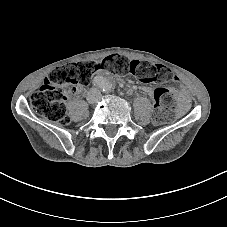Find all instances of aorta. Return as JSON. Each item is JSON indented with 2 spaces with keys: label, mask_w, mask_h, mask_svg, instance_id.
<instances>
[{
  "label": "aorta",
  "mask_w": 227,
  "mask_h": 227,
  "mask_svg": "<svg viewBox=\"0 0 227 227\" xmlns=\"http://www.w3.org/2000/svg\"><path fill=\"white\" fill-rule=\"evenodd\" d=\"M97 84L103 90H110L113 87V80L108 76H100L97 78Z\"/></svg>",
  "instance_id": "1"
}]
</instances>
